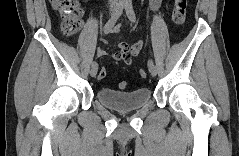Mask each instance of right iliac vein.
Here are the masks:
<instances>
[{
    "mask_svg": "<svg viewBox=\"0 0 239 156\" xmlns=\"http://www.w3.org/2000/svg\"><path fill=\"white\" fill-rule=\"evenodd\" d=\"M110 14H111V15L113 14V10L110 11ZM97 71H98V65L92 66V67H91V70H90V75H91L92 77H95L96 74H97Z\"/></svg>",
    "mask_w": 239,
    "mask_h": 156,
    "instance_id": "obj_1",
    "label": "right iliac vein"
}]
</instances>
